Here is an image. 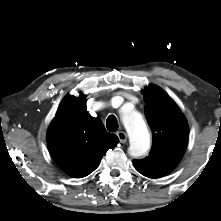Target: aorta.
<instances>
[{
    "label": "aorta",
    "instance_id": "1",
    "mask_svg": "<svg viewBox=\"0 0 221 221\" xmlns=\"http://www.w3.org/2000/svg\"><path fill=\"white\" fill-rule=\"evenodd\" d=\"M122 122L130 138L129 154L139 157L149 150L150 134L142 115L134 109L123 108Z\"/></svg>",
    "mask_w": 221,
    "mask_h": 221
}]
</instances>
